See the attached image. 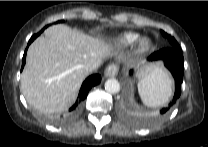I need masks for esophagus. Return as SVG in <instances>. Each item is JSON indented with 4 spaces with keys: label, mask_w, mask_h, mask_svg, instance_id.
I'll list each match as a JSON object with an SVG mask.
<instances>
[{
    "label": "esophagus",
    "mask_w": 208,
    "mask_h": 147,
    "mask_svg": "<svg viewBox=\"0 0 208 147\" xmlns=\"http://www.w3.org/2000/svg\"><path fill=\"white\" fill-rule=\"evenodd\" d=\"M118 70H119L118 65L110 64L105 69V76L106 77H115L117 75V73H118Z\"/></svg>",
    "instance_id": "34e87169"
}]
</instances>
